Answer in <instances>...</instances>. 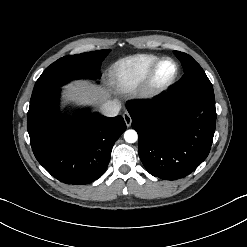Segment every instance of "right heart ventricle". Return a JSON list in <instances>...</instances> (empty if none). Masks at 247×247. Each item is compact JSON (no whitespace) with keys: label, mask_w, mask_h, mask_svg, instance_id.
<instances>
[{"label":"right heart ventricle","mask_w":247,"mask_h":247,"mask_svg":"<svg viewBox=\"0 0 247 247\" xmlns=\"http://www.w3.org/2000/svg\"><path fill=\"white\" fill-rule=\"evenodd\" d=\"M159 58L154 54H138L118 60L109 71L111 83L120 92L133 91Z\"/></svg>","instance_id":"e07e8e85"}]
</instances>
